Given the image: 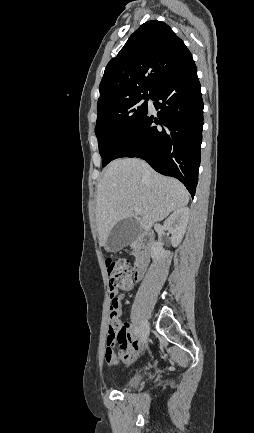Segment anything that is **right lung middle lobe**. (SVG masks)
Segmentation results:
<instances>
[{
    "instance_id": "right-lung-middle-lobe-1",
    "label": "right lung middle lobe",
    "mask_w": 254,
    "mask_h": 433,
    "mask_svg": "<svg viewBox=\"0 0 254 433\" xmlns=\"http://www.w3.org/2000/svg\"><path fill=\"white\" fill-rule=\"evenodd\" d=\"M147 112V102L143 99L124 101L97 111L95 133L103 167L113 160L117 150Z\"/></svg>"
}]
</instances>
